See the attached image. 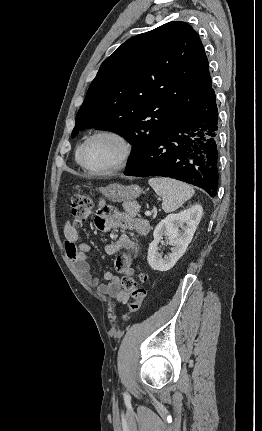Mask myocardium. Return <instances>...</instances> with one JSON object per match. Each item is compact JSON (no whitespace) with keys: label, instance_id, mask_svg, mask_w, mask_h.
<instances>
[{"label":"myocardium","instance_id":"obj_1","mask_svg":"<svg viewBox=\"0 0 262 431\" xmlns=\"http://www.w3.org/2000/svg\"><path fill=\"white\" fill-rule=\"evenodd\" d=\"M99 137H111L116 139L121 147H122V153L121 156L119 158V161L117 162V164L107 170H102V171H95L90 169L84 161V157H85V152L87 149V146L89 145V143ZM133 154V144L131 142V140L128 138L127 135H125L124 133L117 131V130H101L98 132L93 133L91 136H89L82 144L80 152H79V164L80 166L91 176H108V175H113L121 170H123L127 164L129 163L131 157Z\"/></svg>","mask_w":262,"mask_h":431}]
</instances>
